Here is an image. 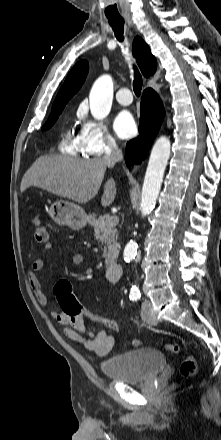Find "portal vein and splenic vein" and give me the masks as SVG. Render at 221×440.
I'll list each match as a JSON object with an SVG mask.
<instances>
[{
  "instance_id": "18ae733b",
  "label": "portal vein and splenic vein",
  "mask_w": 221,
  "mask_h": 440,
  "mask_svg": "<svg viewBox=\"0 0 221 440\" xmlns=\"http://www.w3.org/2000/svg\"><path fill=\"white\" fill-rule=\"evenodd\" d=\"M119 222V218L117 215H113L110 219V225L111 226H116Z\"/></svg>"
}]
</instances>
